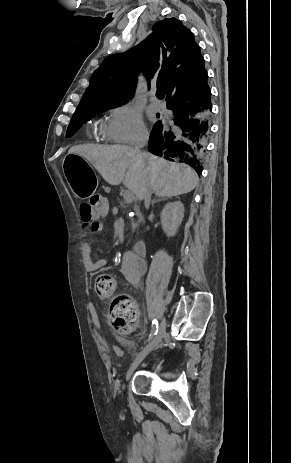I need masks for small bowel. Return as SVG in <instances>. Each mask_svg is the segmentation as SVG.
Returning <instances> with one entry per match:
<instances>
[{
    "label": "small bowel",
    "mask_w": 291,
    "mask_h": 463,
    "mask_svg": "<svg viewBox=\"0 0 291 463\" xmlns=\"http://www.w3.org/2000/svg\"><path fill=\"white\" fill-rule=\"evenodd\" d=\"M83 225L87 227L89 235H95L102 231L103 225L99 221L104 217H94L91 215L89 220L85 219L84 214L80 210ZM80 253L84 267L89 272H96L104 268L107 264L105 259L95 258L93 255V245L91 240H85L80 245ZM146 269L144 256L137 255L133 249L127 251L122 258L120 275L132 285L139 287L141 285L142 275ZM120 351H117L119 354Z\"/></svg>",
    "instance_id": "c3829d8e"
}]
</instances>
